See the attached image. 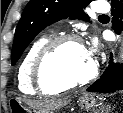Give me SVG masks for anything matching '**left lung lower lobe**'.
Listing matches in <instances>:
<instances>
[{
  "instance_id": "1",
  "label": "left lung lower lobe",
  "mask_w": 123,
  "mask_h": 113,
  "mask_svg": "<svg viewBox=\"0 0 123 113\" xmlns=\"http://www.w3.org/2000/svg\"><path fill=\"white\" fill-rule=\"evenodd\" d=\"M112 28L117 33L123 30V0H112ZM123 89V64L113 62V55L110 54L109 66L102 76L95 81L89 88L88 92H114Z\"/></svg>"
}]
</instances>
